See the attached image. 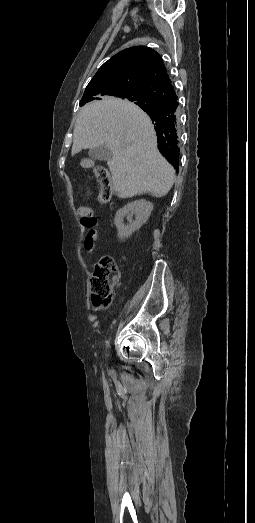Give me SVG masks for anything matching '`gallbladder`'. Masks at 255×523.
Listing matches in <instances>:
<instances>
[{
	"instance_id": "gallbladder-1",
	"label": "gallbladder",
	"mask_w": 255,
	"mask_h": 523,
	"mask_svg": "<svg viewBox=\"0 0 255 523\" xmlns=\"http://www.w3.org/2000/svg\"><path fill=\"white\" fill-rule=\"evenodd\" d=\"M88 156L93 158V160H105V162L112 160V152L110 148H108L107 144H103V146H97V148H90Z\"/></svg>"
}]
</instances>
